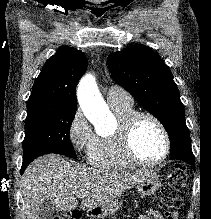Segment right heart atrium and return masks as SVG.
Wrapping results in <instances>:
<instances>
[{
  "label": "right heart atrium",
  "mask_w": 211,
  "mask_h": 219,
  "mask_svg": "<svg viewBox=\"0 0 211 219\" xmlns=\"http://www.w3.org/2000/svg\"><path fill=\"white\" fill-rule=\"evenodd\" d=\"M68 141L80 153H88L96 136L84 114L77 110L68 125Z\"/></svg>",
  "instance_id": "right-heart-atrium-1"
}]
</instances>
